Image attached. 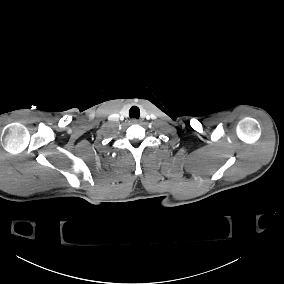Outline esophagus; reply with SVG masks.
Wrapping results in <instances>:
<instances>
[{
  "instance_id": "esophagus-1",
  "label": "esophagus",
  "mask_w": 284,
  "mask_h": 284,
  "mask_svg": "<svg viewBox=\"0 0 284 284\" xmlns=\"http://www.w3.org/2000/svg\"><path fill=\"white\" fill-rule=\"evenodd\" d=\"M131 123L137 124V123H138V120H137L136 118H132V119H131Z\"/></svg>"
}]
</instances>
